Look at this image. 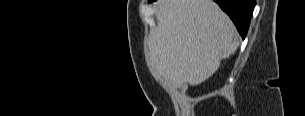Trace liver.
<instances>
[{"label":"liver","mask_w":305,"mask_h":116,"mask_svg":"<svg viewBox=\"0 0 305 116\" xmlns=\"http://www.w3.org/2000/svg\"><path fill=\"white\" fill-rule=\"evenodd\" d=\"M150 32V68L180 85L211 77L239 46L236 28L212 0H160Z\"/></svg>","instance_id":"6515ba94"}]
</instances>
